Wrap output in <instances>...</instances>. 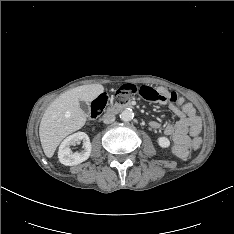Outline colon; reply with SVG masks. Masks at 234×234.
Masks as SVG:
<instances>
[{
    "label": "colon",
    "instance_id": "obj_1",
    "mask_svg": "<svg viewBox=\"0 0 234 234\" xmlns=\"http://www.w3.org/2000/svg\"><path fill=\"white\" fill-rule=\"evenodd\" d=\"M139 94L143 98L149 101H155L159 98V94L157 90L149 87V86H142L137 87L134 84H126L121 86L114 97L115 102H127L130 100L131 97L134 95ZM107 104V96L105 94H101L98 96L91 104V113L90 116L92 119L98 117V115L102 112L104 107ZM203 146V140L200 137L195 138L194 143H192L191 148L194 151L200 149Z\"/></svg>",
    "mask_w": 234,
    "mask_h": 234
}]
</instances>
